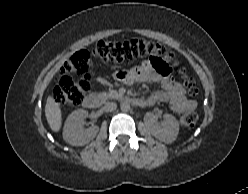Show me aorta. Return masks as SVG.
I'll return each mask as SVG.
<instances>
[{"label":"aorta","instance_id":"obj_1","mask_svg":"<svg viewBox=\"0 0 248 194\" xmlns=\"http://www.w3.org/2000/svg\"><path fill=\"white\" fill-rule=\"evenodd\" d=\"M120 108L123 112H128L130 110V104L128 102H122Z\"/></svg>","mask_w":248,"mask_h":194}]
</instances>
